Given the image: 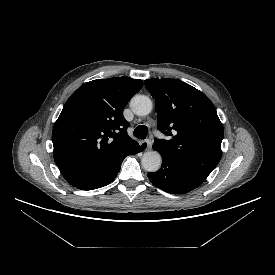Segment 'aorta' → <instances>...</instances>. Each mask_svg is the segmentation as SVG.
<instances>
[{"instance_id": "obj_1", "label": "aorta", "mask_w": 275, "mask_h": 275, "mask_svg": "<svg viewBox=\"0 0 275 275\" xmlns=\"http://www.w3.org/2000/svg\"><path fill=\"white\" fill-rule=\"evenodd\" d=\"M132 111L139 116L148 115L153 108L152 101L145 95L134 96L130 101ZM142 165L148 172H156L159 170L162 158L157 151H148L143 154Z\"/></svg>"}]
</instances>
